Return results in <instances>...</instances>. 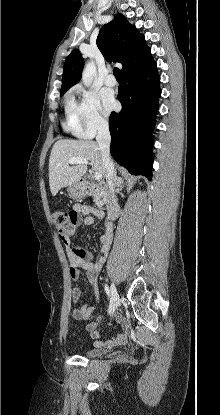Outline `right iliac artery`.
Segmentation results:
<instances>
[{
	"label": "right iliac artery",
	"mask_w": 220,
	"mask_h": 415,
	"mask_svg": "<svg viewBox=\"0 0 220 415\" xmlns=\"http://www.w3.org/2000/svg\"><path fill=\"white\" fill-rule=\"evenodd\" d=\"M105 291H106L107 295L109 296V298L111 299L110 290H109V287L106 284H105ZM109 312H110V308H109Z\"/></svg>",
	"instance_id": "obj_1"
}]
</instances>
